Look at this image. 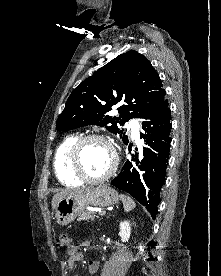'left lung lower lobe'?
<instances>
[{
  "label": "left lung lower lobe",
  "mask_w": 221,
  "mask_h": 276,
  "mask_svg": "<svg viewBox=\"0 0 221 276\" xmlns=\"http://www.w3.org/2000/svg\"><path fill=\"white\" fill-rule=\"evenodd\" d=\"M142 123L145 134L143 158L132 155L111 185L136 198L155 219L160 202V191L166 176L172 128L171 111L167 100L161 102ZM131 148V146H129ZM137 150V148H136Z\"/></svg>",
  "instance_id": "obj_1"
}]
</instances>
